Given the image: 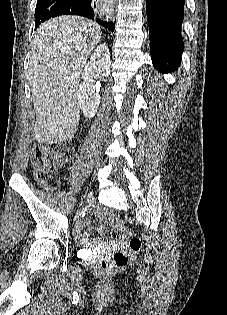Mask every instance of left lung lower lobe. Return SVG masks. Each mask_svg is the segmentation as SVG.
<instances>
[{"instance_id": "0a47b994", "label": "left lung lower lobe", "mask_w": 227, "mask_h": 315, "mask_svg": "<svg viewBox=\"0 0 227 315\" xmlns=\"http://www.w3.org/2000/svg\"><path fill=\"white\" fill-rule=\"evenodd\" d=\"M184 3L185 0H146L151 58L157 69L172 71L180 65Z\"/></svg>"}]
</instances>
